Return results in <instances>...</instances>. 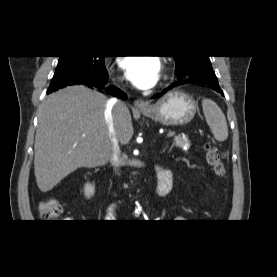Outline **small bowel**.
Wrapping results in <instances>:
<instances>
[{
	"mask_svg": "<svg viewBox=\"0 0 277 277\" xmlns=\"http://www.w3.org/2000/svg\"><path fill=\"white\" fill-rule=\"evenodd\" d=\"M164 168L163 167H158L157 168V177L159 178L161 176V172ZM167 171V174H170V172L168 170ZM171 186V183L169 185H167L166 183H164L162 180H159L158 181V194L162 195L164 194L165 192H167V190L170 188Z\"/></svg>",
	"mask_w": 277,
	"mask_h": 277,
	"instance_id": "obj_1",
	"label": "small bowel"
}]
</instances>
